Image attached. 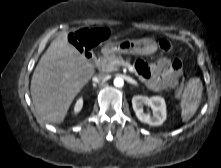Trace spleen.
<instances>
[{
  "instance_id": "obj_1",
  "label": "spleen",
  "mask_w": 221,
  "mask_h": 168,
  "mask_svg": "<svg viewBox=\"0 0 221 168\" xmlns=\"http://www.w3.org/2000/svg\"><path fill=\"white\" fill-rule=\"evenodd\" d=\"M203 86L199 78H191L186 86L181 100V117L183 122H187L197 111Z\"/></svg>"
}]
</instances>
